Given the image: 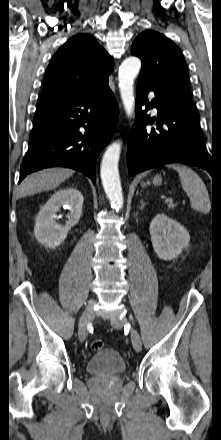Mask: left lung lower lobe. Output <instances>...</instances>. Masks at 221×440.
Here are the masks:
<instances>
[{
  "label": "left lung lower lobe",
  "instance_id": "0a47b994",
  "mask_svg": "<svg viewBox=\"0 0 221 440\" xmlns=\"http://www.w3.org/2000/svg\"><path fill=\"white\" fill-rule=\"evenodd\" d=\"M155 93L152 103L148 93ZM146 105L143 111L142 106ZM157 108V118L150 119L149 106ZM157 121L156 129L147 127ZM194 165L212 172L210 155L205 149L199 113L195 107L163 93L152 84L138 79L136 121L128 137L127 164L130 176L168 163Z\"/></svg>",
  "mask_w": 221,
  "mask_h": 440
}]
</instances>
